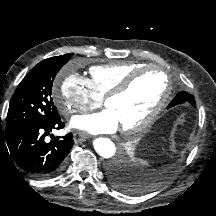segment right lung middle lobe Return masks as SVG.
<instances>
[{"label":"right lung middle lobe","mask_w":216,"mask_h":216,"mask_svg":"<svg viewBox=\"0 0 216 216\" xmlns=\"http://www.w3.org/2000/svg\"><path fill=\"white\" fill-rule=\"evenodd\" d=\"M71 56L65 54L43 60L25 76L10 101L6 129L59 117L51 97L52 85L56 74Z\"/></svg>","instance_id":"dd1d6c3e"}]
</instances>
